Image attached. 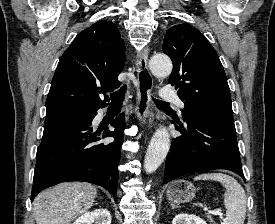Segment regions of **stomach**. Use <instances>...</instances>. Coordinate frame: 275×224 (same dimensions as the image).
Here are the masks:
<instances>
[{"label":"stomach","instance_id":"obj_1","mask_svg":"<svg viewBox=\"0 0 275 224\" xmlns=\"http://www.w3.org/2000/svg\"><path fill=\"white\" fill-rule=\"evenodd\" d=\"M167 198L177 205L190 202L195 197V187L186 180L172 182L166 191Z\"/></svg>","mask_w":275,"mask_h":224}]
</instances>
